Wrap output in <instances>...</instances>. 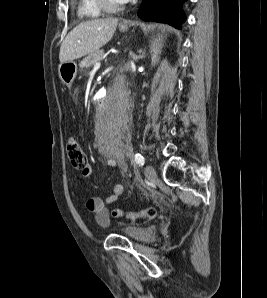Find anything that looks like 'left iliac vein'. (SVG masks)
<instances>
[{
  "label": "left iliac vein",
  "mask_w": 267,
  "mask_h": 298,
  "mask_svg": "<svg viewBox=\"0 0 267 298\" xmlns=\"http://www.w3.org/2000/svg\"><path fill=\"white\" fill-rule=\"evenodd\" d=\"M145 176L148 178V179H153V178H155V176H156V171H155V169H154V167L153 166H151V165H147L146 167H145Z\"/></svg>",
  "instance_id": "left-iliac-vein-1"
}]
</instances>
